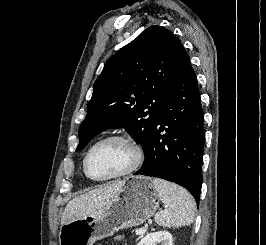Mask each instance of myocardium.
<instances>
[{
    "instance_id": "obj_1",
    "label": "myocardium",
    "mask_w": 266,
    "mask_h": 245,
    "mask_svg": "<svg viewBox=\"0 0 266 245\" xmlns=\"http://www.w3.org/2000/svg\"><path fill=\"white\" fill-rule=\"evenodd\" d=\"M108 140H120V141H123V142L129 144L132 147L133 153H134L133 161H132L130 167L125 172H123L119 175L108 177V178H96L88 172V168H87L88 159H89L91 152L94 150V148L96 146H98L102 142H105ZM143 157H144L143 149H142L141 145L136 140H134L133 138L128 137L124 134H109V135H105V136L99 138L97 141H95L88 148V150L86 151L84 158H83L82 167H83V171H84L85 175L87 176V178H89L93 181H97V182H110V181L120 180V179L126 178L129 175L133 174L141 165Z\"/></svg>"
}]
</instances>
